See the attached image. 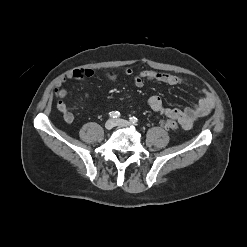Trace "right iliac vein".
Listing matches in <instances>:
<instances>
[{"mask_svg": "<svg viewBox=\"0 0 247 247\" xmlns=\"http://www.w3.org/2000/svg\"><path fill=\"white\" fill-rule=\"evenodd\" d=\"M114 125H115V121L113 119H109L105 123V128L107 130H111L114 127Z\"/></svg>", "mask_w": 247, "mask_h": 247, "instance_id": "right-iliac-vein-1", "label": "right iliac vein"}]
</instances>
